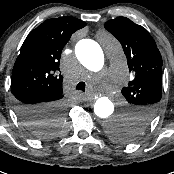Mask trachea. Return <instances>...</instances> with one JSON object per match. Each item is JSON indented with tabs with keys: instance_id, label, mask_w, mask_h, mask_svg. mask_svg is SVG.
Listing matches in <instances>:
<instances>
[{
	"instance_id": "trachea-1",
	"label": "trachea",
	"mask_w": 174,
	"mask_h": 174,
	"mask_svg": "<svg viewBox=\"0 0 174 174\" xmlns=\"http://www.w3.org/2000/svg\"><path fill=\"white\" fill-rule=\"evenodd\" d=\"M76 89L82 90L83 92H85V83L84 82L78 83V85L76 86Z\"/></svg>"
}]
</instances>
